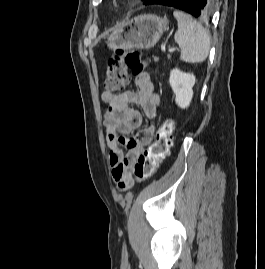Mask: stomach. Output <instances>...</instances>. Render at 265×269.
<instances>
[{
	"label": "stomach",
	"instance_id": "1",
	"mask_svg": "<svg viewBox=\"0 0 265 269\" xmlns=\"http://www.w3.org/2000/svg\"><path fill=\"white\" fill-rule=\"evenodd\" d=\"M165 17L152 14L139 15L115 29L108 37L107 46L112 49H150L166 30Z\"/></svg>",
	"mask_w": 265,
	"mask_h": 269
}]
</instances>
